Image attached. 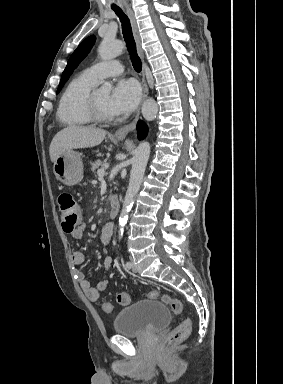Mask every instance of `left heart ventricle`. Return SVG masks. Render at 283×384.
<instances>
[{
  "label": "left heart ventricle",
  "mask_w": 283,
  "mask_h": 384,
  "mask_svg": "<svg viewBox=\"0 0 283 384\" xmlns=\"http://www.w3.org/2000/svg\"><path fill=\"white\" fill-rule=\"evenodd\" d=\"M93 94L101 114L110 118L115 117L108 107L109 92L96 91Z\"/></svg>",
  "instance_id": "b2bd125f"
}]
</instances>
